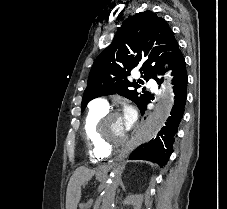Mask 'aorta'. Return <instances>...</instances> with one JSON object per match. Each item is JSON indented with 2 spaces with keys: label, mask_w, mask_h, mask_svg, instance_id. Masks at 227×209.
<instances>
[{
  "label": "aorta",
  "mask_w": 227,
  "mask_h": 209,
  "mask_svg": "<svg viewBox=\"0 0 227 209\" xmlns=\"http://www.w3.org/2000/svg\"><path fill=\"white\" fill-rule=\"evenodd\" d=\"M173 103V86L171 84V76H169L165 81V86L153 113L149 116L148 120L138 133L136 144L148 142L158 133L170 115ZM128 154L129 150L124 151L120 156L119 161L113 164L110 178L102 193L100 209L113 208L118 182L124 168V159L127 158Z\"/></svg>",
  "instance_id": "762f6f07"
}]
</instances>
